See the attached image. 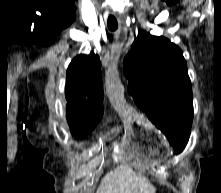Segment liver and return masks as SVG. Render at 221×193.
Listing matches in <instances>:
<instances>
[{"mask_svg":"<svg viewBox=\"0 0 221 193\" xmlns=\"http://www.w3.org/2000/svg\"><path fill=\"white\" fill-rule=\"evenodd\" d=\"M136 189L137 184L130 172L120 167L104 176L97 193H136Z\"/></svg>","mask_w":221,"mask_h":193,"instance_id":"obj_1","label":"liver"}]
</instances>
